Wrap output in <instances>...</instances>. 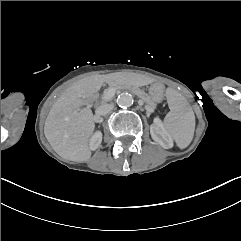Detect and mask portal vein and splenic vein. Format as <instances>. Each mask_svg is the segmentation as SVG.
<instances>
[{
	"label": "portal vein and splenic vein",
	"instance_id": "obj_1",
	"mask_svg": "<svg viewBox=\"0 0 241 241\" xmlns=\"http://www.w3.org/2000/svg\"><path fill=\"white\" fill-rule=\"evenodd\" d=\"M106 93H107V96L113 97L114 94H115V89L114 88H109Z\"/></svg>",
	"mask_w": 241,
	"mask_h": 241
}]
</instances>
